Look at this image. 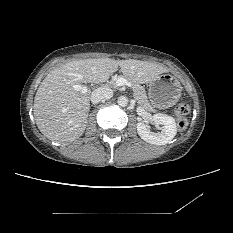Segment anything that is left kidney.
I'll use <instances>...</instances> for the list:
<instances>
[{"mask_svg":"<svg viewBox=\"0 0 233 233\" xmlns=\"http://www.w3.org/2000/svg\"><path fill=\"white\" fill-rule=\"evenodd\" d=\"M152 121L157 125H163L162 131L154 133L146 124L137 123V132L141 139L150 144L165 145L174 138L177 128L173 117L158 113L153 115Z\"/></svg>","mask_w":233,"mask_h":233,"instance_id":"1","label":"left kidney"}]
</instances>
